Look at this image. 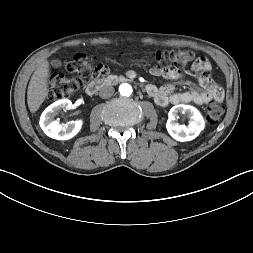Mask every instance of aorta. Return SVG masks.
Instances as JSON below:
<instances>
[{"mask_svg": "<svg viewBox=\"0 0 253 253\" xmlns=\"http://www.w3.org/2000/svg\"><path fill=\"white\" fill-rule=\"evenodd\" d=\"M119 92L123 96H130L133 92L131 85L123 83L119 86Z\"/></svg>", "mask_w": 253, "mask_h": 253, "instance_id": "1", "label": "aorta"}]
</instances>
